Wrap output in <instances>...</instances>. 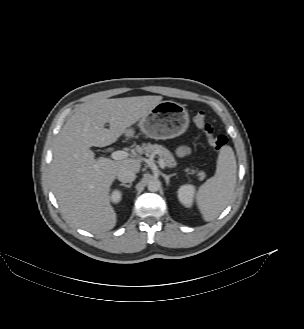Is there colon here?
Instances as JSON below:
<instances>
[{
    "label": "colon",
    "mask_w": 304,
    "mask_h": 329,
    "mask_svg": "<svg viewBox=\"0 0 304 329\" xmlns=\"http://www.w3.org/2000/svg\"><path fill=\"white\" fill-rule=\"evenodd\" d=\"M195 125L204 133L208 143L217 151L224 148L227 138L224 135L216 134L211 123L206 119V114L202 109H198L194 115Z\"/></svg>",
    "instance_id": "5ec220e1"
}]
</instances>
